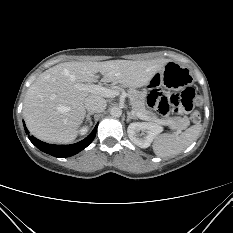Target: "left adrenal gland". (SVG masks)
I'll list each match as a JSON object with an SVG mask.
<instances>
[{
  "mask_svg": "<svg viewBox=\"0 0 233 233\" xmlns=\"http://www.w3.org/2000/svg\"><path fill=\"white\" fill-rule=\"evenodd\" d=\"M131 119H134L136 120L137 117H135L130 111H127V123L131 120Z\"/></svg>",
  "mask_w": 233,
  "mask_h": 233,
  "instance_id": "1",
  "label": "left adrenal gland"
}]
</instances>
